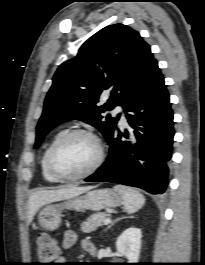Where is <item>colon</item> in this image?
Instances as JSON below:
<instances>
[{
  "mask_svg": "<svg viewBox=\"0 0 205 265\" xmlns=\"http://www.w3.org/2000/svg\"><path fill=\"white\" fill-rule=\"evenodd\" d=\"M36 251L40 265H54L60 254L58 243L48 234L38 237Z\"/></svg>",
  "mask_w": 205,
  "mask_h": 265,
  "instance_id": "colon-1",
  "label": "colon"
}]
</instances>
